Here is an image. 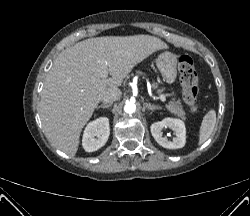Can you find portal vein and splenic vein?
I'll list each match as a JSON object with an SVG mask.
<instances>
[{"mask_svg": "<svg viewBox=\"0 0 250 216\" xmlns=\"http://www.w3.org/2000/svg\"><path fill=\"white\" fill-rule=\"evenodd\" d=\"M100 76L101 78H106L108 76L107 63H102ZM159 98L163 102L166 101V98L164 95H159Z\"/></svg>", "mask_w": 250, "mask_h": 216, "instance_id": "portal-vein-and-splenic-vein-1", "label": "portal vein and splenic vein"}]
</instances>
